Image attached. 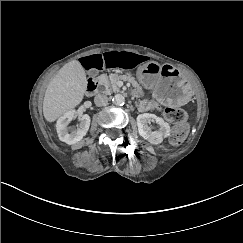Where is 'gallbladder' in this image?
Here are the masks:
<instances>
[{"mask_svg": "<svg viewBox=\"0 0 243 243\" xmlns=\"http://www.w3.org/2000/svg\"><path fill=\"white\" fill-rule=\"evenodd\" d=\"M88 72H89V74H90V75H92V76H93V75H95V74H96V72H97V71H96V69H95V68H93V67H92V68H90V69H89V71H88Z\"/></svg>", "mask_w": 243, "mask_h": 243, "instance_id": "bac80fb5", "label": "gallbladder"}]
</instances>
